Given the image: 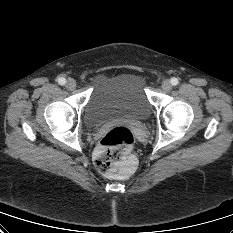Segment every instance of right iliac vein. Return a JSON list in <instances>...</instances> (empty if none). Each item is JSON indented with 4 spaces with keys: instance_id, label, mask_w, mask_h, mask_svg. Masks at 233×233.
Wrapping results in <instances>:
<instances>
[{
    "instance_id": "obj_1",
    "label": "right iliac vein",
    "mask_w": 233,
    "mask_h": 233,
    "mask_svg": "<svg viewBox=\"0 0 233 233\" xmlns=\"http://www.w3.org/2000/svg\"><path fill=\"white\" fill-rule=\"evenodd\" d=\"M66 88L68 90H74L76 88V81L72 78H69L67 81H66Z\"/></svg>"
}]
</instances>
